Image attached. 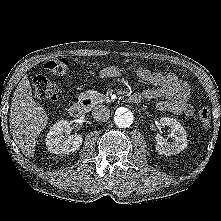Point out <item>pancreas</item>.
<instances>
[{
	"label": "pancreas",
	"instance_id": "1",
	"mask_svg": "<svg viewBox=\"0 0 221 221\" xmlns=\"http://www.w3.org/2000/svg\"><path fill=\"white\" fill-rule=\"evenodd\" d=\"M87 95L90 98H92V99H94V100H96L98 102H106L107 101V97L105 95L100 94V93H98L96 91H89V92H87Z\"/></svg>",
	"mask_w": 221,
	"mask_h": 221
}]
</instances>
